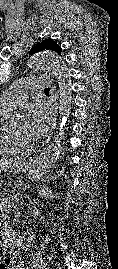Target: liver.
<instances>
[{
  "label": "liver",
  "instance_id": "1",
  "mask_svg": "<svg viewBox=\"0 0 118 269\" xmlns=\"http://www.w3.org/2000/svg\"><path fill=\"white\" fill-rule=\"evenodd\" d=\"M20 164L28 165V163H23L22 161L0 159V169H7L9 167L12 168V166H16Z\"/></svg>",
  "mask_w": 118,
  "mask_h": 269
}]
</instances>
